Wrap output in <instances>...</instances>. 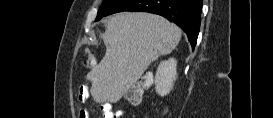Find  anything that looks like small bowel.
Returning a JSON list of instances; mask_svg holds the SVG:
<instances>
[{"label": "small bowel", "instance_id": "small-bowel-1", "mask_svg": "<svg viewBox=\"0 0 273 118\" xmlns=\"http://www.w3.org/2000/svg\"><path fill=\"white\" fill-rule=\"evenodd\" d=\"M89 97V91L87 86H82L79 89V93H78V100L81 104V107L79 109V116L80 118H89V114L87 109L84 107V104L86 102V100ZM101 109L104 113L105 118H121L125 115L126 111L123 109L118 110L117 112H113L111 109V105L110 103H104L101 106Z\"/></svg>", "mask_w": 273, "mask_h": 118}]
</instances>
